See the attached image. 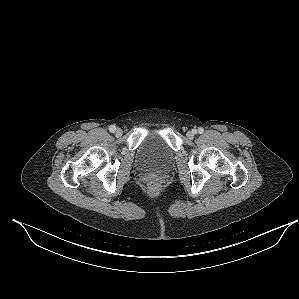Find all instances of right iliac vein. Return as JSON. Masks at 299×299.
I'll return each mask as SVG.
<instances>
[{"label": "right iliac vein", "instance_id": "obj_1", "mask_svg": "<svg viewBox=\"0 0 299 299\" xmlns=\"http://www.w3.org/2000/svg\"><path fill=\"white\" fill-rule=\"evenodd\" d=\"M122 133H123V131H122L120 128H118V129L115 131V135H116L117 137L122 136Z\"/></svg>", "mask_w": 299, "mask_h": 299}]
</instances>
